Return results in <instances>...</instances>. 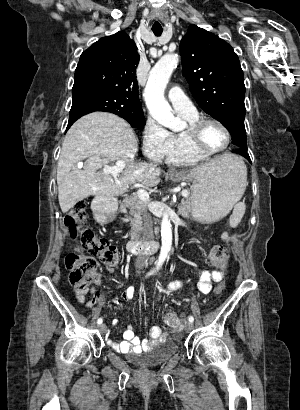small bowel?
<instances>
[{
	"label": "small bowel",
	"mask_w": 300,
	"mask_h": 410,
	"mask_svg": "<svg viewBox=\"0 0 300 410\" xmlns=\"http://www.w3.org/2000/svg\"><path fill=\"white\" fill-rule=\"evenodd\" d=\"M224 239H228V234H223ZM224 278V273L219 270H205L201 273L197 289L202 294H208L212 290V284L215 282H219ZM102 283V278L97 276L94 279L93 284L90 287L80 289L76 292V299L79 303L85 304L87 308L92 309L96 306V304L100 300V293L96 289V285H100ZM172 290H176L180 287V283L175 281L170 284ZM135 294V290L133 287L127 288L123 294L122 299L130 300L133 298ZM88 295H91V298L88 300ZM113 302H117V299L113 298ZM124 340L122 341H113L111 339L108 340V343L111 345L113 349L122 353H129V352H142L149 350L155 344L162 341L164 339V332L163 329L159 326H153L149 331V336L147 339L141 340L135 335V331L133 326L128 325L124 331Z\"/></svg>",
	"instance_id": "small-bowel-1"
}]
</instances>
